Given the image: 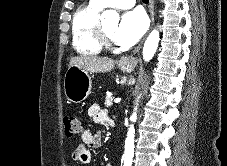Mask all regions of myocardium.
Here are the masks:
<instances>
[{
  "label": "myocardium",
  "instance_id": "obj_1",
  "mask_svg": "<svg viewBox=\"0 0 227 166\" xmlns=\"http://www.w3.org/2000/svg\"><path fill=\"white\" fill-rule=\"evenodd\" d=\"M96 38L102 47L109 48L113 45V38L106 33L101 21H98L97 23Z\"/></svg>",
  "mask_w": 227,
  "mask_h": 166
}]
</instances>
